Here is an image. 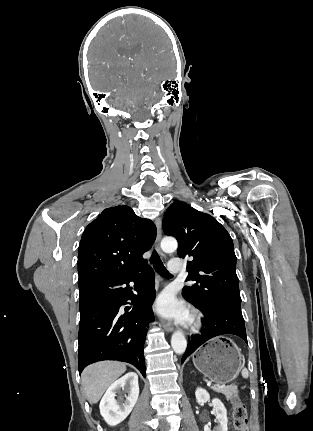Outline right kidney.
I'll use <instances>...</instances> for the list:
<instances>
[{"label": "right kidney", "mask_w": 313, "mask_h": 431, "mask_svg": "<svg viewBox=\"0 0 313 431\" xmlns=\"http://www.w3.org/2000/svg\"><path fill=\"white\" fill-rule=\"evenodd\" d=\"M121 390L127 395H120L115 399ZM138 396V376L134 372H129L109 386L99 405L100 414L108 425L116 426L130 414Z\"/></svg>", "instance_id": "ca27d5eb"}]
</instances>
